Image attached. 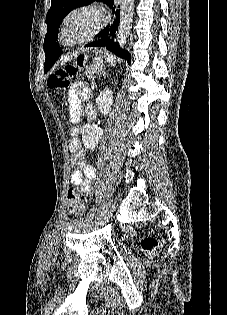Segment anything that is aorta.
Instances as JSON below:
<instances>
[{
	"label": "aorta",
	"instance_id": "aorta-1",
	"mask_svg": "<svg viewBox=\"0 0 227 315\" xmlns=\"http://www.w3.org/2000/svg\"><path fill=\"white\" fill-rule=\"evenodd\" d=\"M134 1L135 0H121L120 22L117 30L118 42L121 47L126 45L130 35L134 14Z\"/></svg>",
	"mask_w": 227,
	"mask_h": 315
}]
</instances>
